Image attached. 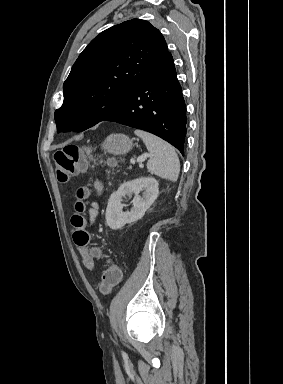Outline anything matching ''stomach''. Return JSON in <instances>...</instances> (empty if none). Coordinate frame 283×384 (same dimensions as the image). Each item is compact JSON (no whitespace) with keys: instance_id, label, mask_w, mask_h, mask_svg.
<instances>
[{"instance_id":"1","label":"stomach","mask_w":283,"mask_h":384,"mask_svg":"<svg viewBox=\"0 0 283 384\" xmlns=\"http://www.w3.org/2000/svg\"><path fill=\"white\" fill-rule=\"evenodd\" d=\"M132 146L131 140L124 134H111V136H107L102 144L103 150H106L109 154H114V156L128 154L132 150Z\"/></svg>"}]
</instances>
